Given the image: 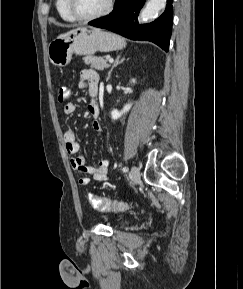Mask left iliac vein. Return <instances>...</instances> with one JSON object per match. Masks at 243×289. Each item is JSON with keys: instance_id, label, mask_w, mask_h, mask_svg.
I'll use <instances>...</instances> for the list:
<instances>
[{"instance_id": "4c4485c4", "label": "left iliac vein", "mask_w": 243, "mask_h": 289, "mask_svg": "<svg viewBox=\"0 0 243 289\" xmlns=\"http://www.w3.org/2000/svg\"><path fill=\"white\" fill-rule=\"evenodd\" d=\"M131 178L133 185H136L140 182V171L136 166L131 168Z\"/></svg>"}]
</instances>
